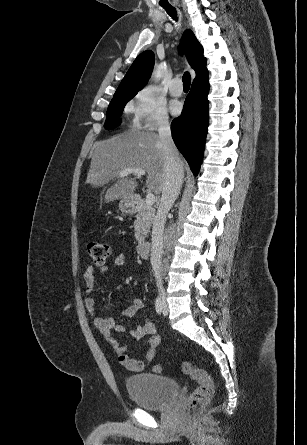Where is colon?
<instances>
[{
	"label": "colon",
	"mask_w": 307,
	"mask_h": 445,
	"mask_svg": "<svg viewBox=\"0 0 307 445\" xmlns=\"http://www.w3.org/2000/svg\"><path fill=\"white\" fill-rule=\"evenodd\" d=\"M110 252L111 249L108 244L98 242L88 244V253L93 263L97 266L105 264L110 256ZM181 370L198 384L188 398L187 407L195 410L207 405L214 393V385L210 376L191 361H184L181 365ZM154 371L159 373L162 371V367L156 365L154 366Z\"/></svg>",
	"instance_id": "obj_1"
}]
</instances>
